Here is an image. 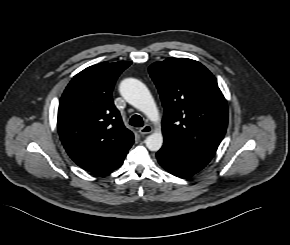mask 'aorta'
<instances>
[{"label": "aorta", "instance_id": "obj_1", "mask_svg": "<svg viewBox=\"0 0 290 245\" xmlns=\"http://www.w3.org/2000/svg\"><path fill=\"white\" fill-rule=\"evenodd\" d=\"M119 91L124 99L143 112L153 123H159V111L157 105L146 87L141 81L134 78L123 80ZM146 147L150 151H158L163 144V134L160 129L149 135L145 140Z\"/></svg>", "mask_w": 290, "mask_h": 245}]
</instances>
